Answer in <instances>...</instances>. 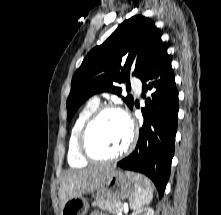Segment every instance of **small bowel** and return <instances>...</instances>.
I'll use <instances>...</instances> for the list:
<instances>
[{
	"mask_svg": "<svg viewBox=\"0 0 221 215\" xmlns=\"http://www.w3.org/2000/svg\"><path fill=\"white\" fill-rule=\"evenodd\" d=\"M91 215H105V214H102V213H99V212H94Z\"/></svg>",
	"mask_w": 221,
	"mask_h": 215,
	"instance_id": "c3829d8e",
	"label": "small bowel"
}]
</instances>
